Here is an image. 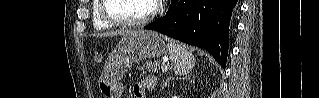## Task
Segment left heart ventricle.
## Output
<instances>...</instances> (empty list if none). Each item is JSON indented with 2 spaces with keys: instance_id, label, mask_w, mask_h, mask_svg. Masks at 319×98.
Masks as SVG:
<instances>
[{
  "instance_id": "b2bd125f",
  "label": "left heart ventricle",
  "mask_w": 319,
  "mask_h": 98,
  "mask_svg": "<svg viewBox=\"0 0 319 98\" xmlns=\"http://www.w3.org/2000/svg\"><path fill=\"white\" fill-rule=\"evenodd\" d=\"M151 8L150 0H109L106 11L114 18L138 20L146 16Z\"/></svg>"
}]
</instances>
